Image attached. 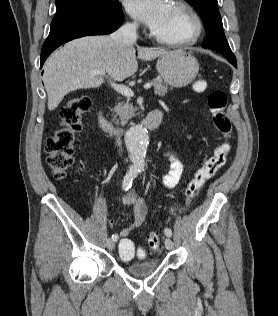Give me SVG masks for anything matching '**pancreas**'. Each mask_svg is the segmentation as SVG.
I'll use <instances>...</instances> for the list:
<instances>
[{
    "mask_svg": "<svg viewBox=\"0 0 278 316\" xmlns=\"http://www.w3.org/2000/svg\"><path fill=\"white\" fill-rule=\"evenodd\" d=\"M151 84L154 86V93L158 96H165L168 91V86L163 84L161 78H156L151 81ZM114 112L116 115L114 118L116 119L117 116L121 120V124H126L127 120L130 119L134 115V107L132 103L129 101L118 103L115 107Z\"/></svg>",
    "mask_w": 278,
    "mask_h": 316,
    "instance_id": "cf45deb5",
    "label": "pancreas"
}]
</instances>
